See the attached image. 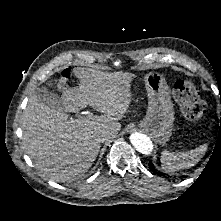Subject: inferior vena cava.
Returning <instances> with one entry per match:
<instances>
[{
  "label": "inferior vena cava",
  "mask_w": 221,
  "mask_h": 221,
  "mask_svg": "<svg viewBox=\"0 0 221 221\" xmlns=\"http://www.w3.org/2000/svg\"><path fill=\"white\" fill-rule=\"evenodd\" d=\"M101 136H102L103 139H106V138L109 137V133H108V132H103V133L101 134Z\"/></svg>",
  "instance_id": "obj_1"
}]
</instances>
